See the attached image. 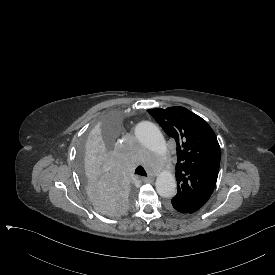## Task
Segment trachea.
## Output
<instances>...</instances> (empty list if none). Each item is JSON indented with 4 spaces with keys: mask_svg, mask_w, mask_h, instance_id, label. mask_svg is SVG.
Instances as JSON below:
<instances>
[{
    "mask_svg": "<svg viewBox=\"0 0 275 275\" xmlns=\"http://www.w3.org/2000/svg\"><path fill=\"white\" fill-rule=\"evenodd\" d=\"M135 174L137 175H141V176H147L146 171L144 170V168L142 166H138L135 170Z\"/></svg>",
    "mask_w": 275,
    "mask_h": 275,
    "instance_id": "3493384b",
    "label": "trachea"
}]
</instances>
